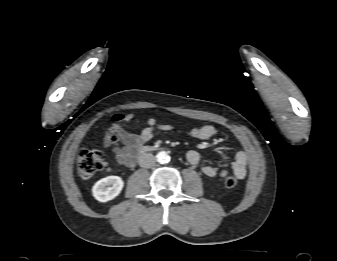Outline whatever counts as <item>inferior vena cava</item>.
Instances as JSON below:
<instances>
[{
  "instance_id": "602c4592",
  "label": "inferior vena cava",
  "mask_w": 337,
  "mask_h": 261,
  "mask_svg": "<svg viewBox=\"0 0 337 261\" xmlns=\"http://www.w3.org/2000/svg\"><path fill=\"white\" fill-rule=\"evenodd\" d=\"M138 162L142 168H151L155 164V157L151 153H143L139 156Z\"/></svg>"
}]
</instances>
